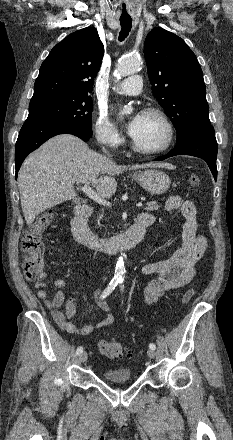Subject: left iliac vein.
I'll list each match as a JSON object with an SVG mask.
<instances>
[{
    "instance_id": "obj_1",
    "label": "left iliac vein",
    "mask_w": 233,
    "mask_h": 440,
    "mask_svg": "<svg viewBox=\"0 0 233 440\" xmlns=\"http://www.w3.org/2000/svg\"><path fill=\"white\" fill-rule=\"evenodd\" d=\"M147 355H148L149 358L153 359L156 356L155 350L149 349L147 351Z\"/></svg>"
}]
</instances>
